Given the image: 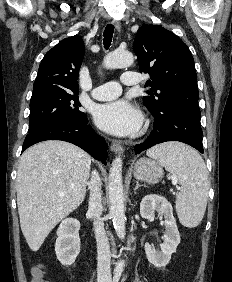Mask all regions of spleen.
Returning a JSON list of instances; mask_svg holds the SVG:
<instances>
[{
    "mask_svg": "<svg viewBox=\"0 0 232 282\" xmlns=\"http://www.w3.org/2000/svg\"><path fill=\"white\" fill-rule=\"evenodd\" d=\"M180 182L176 211L182 225L193 228L203 219L208 199V171L202 157L192 148L177 142L155 146L146 152Z\"/></svg>",
    "mask_w": 232,
    "mask_h": 282,
    "instance_id": "1",
    "label": "spleen"
}]
</instances>
